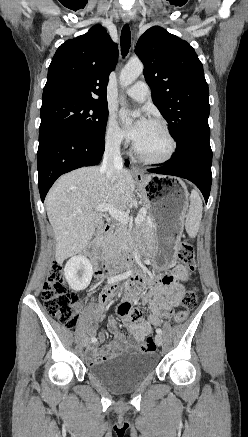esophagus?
Instances as JSON below:
<instances>
[{
	"label": "esophagus",
	"mask_w": 248,
	"mask_h": 437,
	"mask_svg": "<svg viewBox=\"0 0 248 437\" xmlns=\"http://www.w3.org/2000/svg\"><path fill=\"white\" fill-rule=\"evenodd\" d=\"M130 20H131V15H130L129 13H125V14L123 15V21H124V23H125V24H128V23L130 22ZM132 172H133V174H134L135 176H142L141 171H140L137 167H135V166L132 167Z\"/></svg>",
	"instance_id": "esophagus-1"
}]
</instances>
